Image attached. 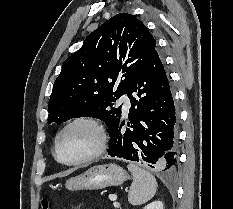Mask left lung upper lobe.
Here are the masks:
<instances>
[{
    "mask_svg": "<svg viewBox=\"0 0 233 209\" xmlns=\"http://www.w3.org/2000/svg\"><path fill=\"white\" fill-rule=\"evenodd\" d=\"M155 47L154 37L131 14L104 22L64 61L49 99L48 124L94 117L109 127L120 120L121 106L113 102L128 92Z\"/></svg>",
    "mask_w": 233,
    "mask_h": 209,
    "instance_id": "left-lung-upper-lobe-1",
    "label": "left lung upper lobe"
}]
</instances>
